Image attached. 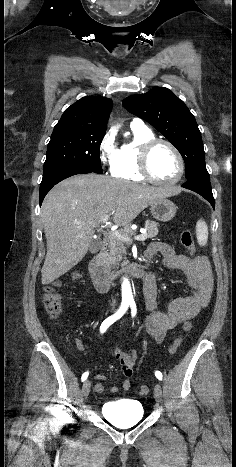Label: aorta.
<instances>
[{"label":"aorta","instance_id":"obj_1","mask_svg":"<svg viewBox=\"0 0 236 467\" xmlns=\"http://www.w3.org/2000/svg\"><path fill=\"white\" fill-rule=\"evenodd\" d=\"M121 290H122V298L124 301H129V302L133 301L131 285H130L128 278H123Z\"/></svg>","mask_w":236,"mask_h":467}]
</instances>
